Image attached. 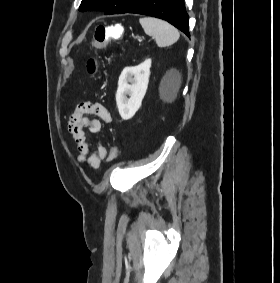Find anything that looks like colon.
Masks as SVG:
<instances>
[{
	"mask_svg": "<svg viewBox=\"0 0 280 283\" xmlns=\"http://www.w3.org/2000/svg\"><path fill=\"white\" fill-rule=\"evenodd\" d=\"M124 33V27L122 25H98L95 28L94 36L92 40L93 48L104 47L110 40L115 42H124L125 38L120 37ZM97 60L94 57H90L87 61V70L91 75L97 73ZM118 156V149L115 147L110 156L109 160L114 161Z\"/></svg>",
	"mask_w": 280,
	"mask_h": 283,
	"instance_id": "1",
	"label": "colon"
}]
</instances>
